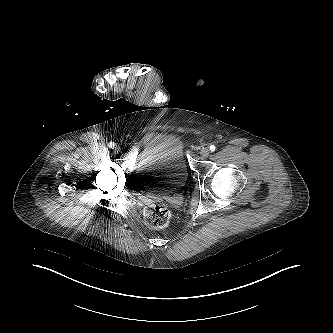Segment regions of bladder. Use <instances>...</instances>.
I'll return each instance as SVG.
<instances>
[{"label": "bladder", "mask_w": 333, "mask_h": 333, "mask_svg": "<svg viewBox=\"0 0 333 333\" xmlns=\"http://www.w3.org/2000/svg\"><path fill=\"white\" fill-rule=\"evenodd\" d=\"M188 174L184 139L168 133L143 156L136 168L134 182L141 193L164 195L181 189Z\"/></svg>", "instance_id": "bladder-1"}]
</instances>
